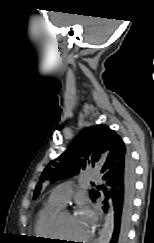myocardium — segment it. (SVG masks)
<instances>
[{"label": "myocardium", "instance_id": "1", "mask_svg": "<svg viewBox=\"0 0 154 243\" xmlns=\"http://www.w3.org/2000/svg\"><path fill=\"white\" fill-rule=\"evenodd\" d=\"M54 232H55V236L58 240L64 241L65 237L61 233V229H60L58 220L54 221ZM85 241H89V237L85 238Z\"/></svg>", "mask_w": 154, "mask_h": 243}]
</instances>
